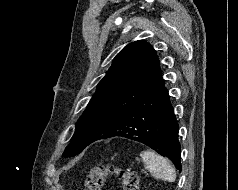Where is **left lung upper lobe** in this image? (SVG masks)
Instances as JSON below:
<instances>
[{
    "label": "left lung upper lobe",
    "mask_w": 238,
    "mask_h": 190,
    "mask_svg": "<svg viewBox=\"0 0 238 190\" xmlns=\"http://www.w3.org/2000/svg\"><path fill=\"white\" fill-rule=\"evenodd\" d=\"M159 65L154 48L146 41L124 47L77 121L63 156L77 155L94 141L104 139L120 116L155 82L161 73Z\"/></svg>",
    "instance_id": "obj_1"
}]
</instances>
